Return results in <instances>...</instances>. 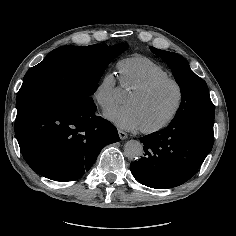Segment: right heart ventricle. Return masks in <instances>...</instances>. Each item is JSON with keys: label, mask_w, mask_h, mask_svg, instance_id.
Instances as JSON below:
<instances>
[{"label": "right heart ventricle", "mask_w": 236, "mask_h": 236, "mask_svg": "<svg viewBox=\"0 0 236 236\" xmlns=\"http://www.w3.org/2000/svg\"><path fill=\"white\" fill-rule=\"evenodd\" d=\"M120 83L123 88L133 91L149 83L171 77L160 64L145 56H133L118 62Z\"/></svg>", "instance_id": "e07e8e85"}]
</instances>
